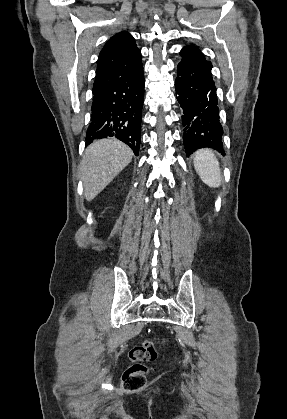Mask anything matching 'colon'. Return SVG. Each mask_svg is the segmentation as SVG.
Wrapping results in <instances>:
<instances>
[{
    "label": "colon",
    "mask_w": 287,
    "mask_h": 419,
    "mask_svg": "<svg viewBox=\"0 0 287 419\" xmlns=\"http://www.w3.org/2000/svg\"><path fill=\"white\" fill-rule=\"evenodd\" d=\"M157 357V346L152 341H144L129 352L130 366L126 369L122 386L127 391H136L147 383L148 367L146 363Z\"/></svg>",
    "instance_id": "5ec220e1"
}]
</instances>
